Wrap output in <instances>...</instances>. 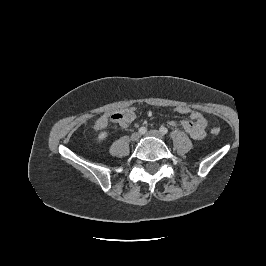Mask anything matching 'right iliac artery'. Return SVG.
I'll return each instance as SVG.
<instances>
[{"label": "right iliac artery", "mask_w": 266, "mask_h": 266, "mask_svg": "<svg viewBox=\"0 0 266 266\" xmlns=\"http://www.w3.org/2000/svg\"><path fill=\"white\" fill-rule=\"evenodd\" d=\"M147 132V128L146 127H140L139 128V133L140 134H145Z\"/></svg>", "instance_id": "1"}]
</instances>
